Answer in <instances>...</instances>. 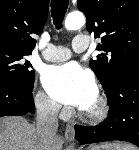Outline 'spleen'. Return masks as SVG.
I'll list each match as a JSON object with an SVG mask.
<instances>
[{
	"label": "spleen",
	"instance_id": "1",
	"mask_svg": "<svg viewBox=\"0 0 139 150\" xmlns=\"http://www.w3.org/2000/svg\"><path fill=\"white\" fill-rule=\"evenodd\" d=\"M113 146L115 150H134L133 147L121 143H115Z\"/></svg>",
	"mask_w": 139,
	"mask_h": 150
}]
</instances>
